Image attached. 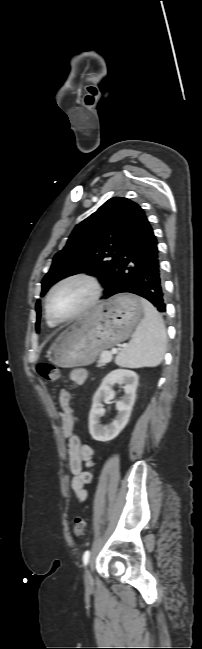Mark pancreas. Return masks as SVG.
Here are the masks:
<instances>
[{
  "mask_svg": "<svg viewBox=\"0 0 202 649\" xmlns=\"http://www.w3.org/2000/svg\"><path fill=\"white\" fill-rule=\"evenodd\" d=\"M105 364H106V362H103V361L101 360V358H100L99 361H97V367H102V366H104Z\"/></svg>",
  "mask_w": 202,
  "mask_h": 649,
  "instance_id": "1",
  "label": "pancreas"
}]
</instances>
